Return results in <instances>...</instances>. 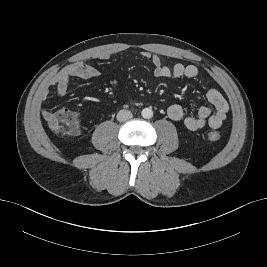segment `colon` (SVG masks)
Segmentation results:
<instances>
[{
  "label": "colon",
  "instance_id": "5ec220e1",
  "mask_svg": "<svg viewBox=\"0 0 267 267\" xmlns=\"http://www.w3.org/2000/svg\"><path fill=\"white\" fill-rule=\"evenodd\" d=\"M47 122L55 133L63 136L76 133L80 126L78 114L67 108L52 112ZM208 138L215 142L220 139V134L216 131H211L208 133Z\"/></svg>",
  "mask_w": 267,
  "mask_h": 267
}]
</instances>
